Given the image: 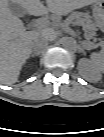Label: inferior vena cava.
<instances>
[{
    "instance_id": "1",
    "label": "inferior vena cava",
    "mask_w": 104,
    "mask_h": 137,
    "mask_svg": "<svg viewBox=\"0 0 104 137\" xmlns=\"http://www.w3.org/2000/svg\"><path fill=\"white\" fill-rule=\"evenodd\" d=\"M47 46V39L43 36L38 37L32 42V48L35 52L39 53Z\"/></svg>"
}]
</instances>
